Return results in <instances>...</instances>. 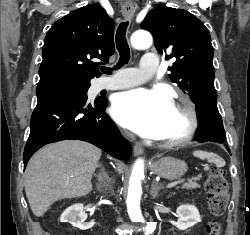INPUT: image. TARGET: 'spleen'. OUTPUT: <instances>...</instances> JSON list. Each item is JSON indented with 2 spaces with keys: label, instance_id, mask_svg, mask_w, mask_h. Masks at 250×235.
I'll list each match as a JSON object with an SVG mask.
<instances>
[{
  "label": "spleen",
  "instance_id": "spleen-1",
  "mask_svg": "<svg viewBox=\"0 0 250 235\" xmlns=\"http://www.w3.org/2000/svg\"><path fill=\"white\" fill-rule=\"evenodd\" d=\"M193 155L203 160L206 159L208 162L214 163L217 167L225 166V161L216 154L204 151H195L193 152Z\"/></svg>",
  "mask_w": 250,
  "mask_h": 235
}]
</instances>
